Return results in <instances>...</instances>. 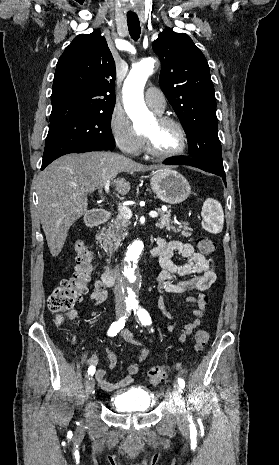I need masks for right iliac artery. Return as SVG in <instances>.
I'll list each match as a JSON object with an SVG mask.
<instances>
[{
  "mask_svg": "<svg viewBox=\"0 0 279 465\" xmlns=\"http://www.w3.org/2000/svg\"><path fill=\"white\" fill-rule=\"evenodd\" d=\"M132 307L128 306L126 308V313L125 316L121 317L119 320L116 322H113L112 325L110 326L108 330V335L109 336H115L123 327L127 319V314L130 312ZM95 373V367H89L88 369V375H93Z\"/></svg>",
  "mask_w": 279,
  "mask_h": 465,
  "instance_id": "obj_1",
  "label": "right iliac artery"
}]
</instances>
